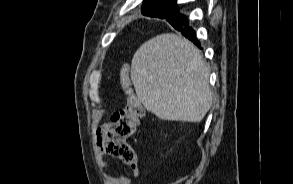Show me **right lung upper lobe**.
Returning a JSON list of instances; mask_svg holds the SVG:
<instances>
[{"mask_svg":"<svg viewBox=\"0 0 293 184\" xmlns=\"http://www.w3.org/2000/svg\"><path fill=\"white\" fill-rule=\"evenodd\" d=\"M154 2V4H149ZM179 12L175 0H144L142 14L150 17L172 18Z\"/></svg>","mask_w":293,"mask_h":184,"instance_id":"obj_1","label":"right lung upper lobe"}]
</instances>
